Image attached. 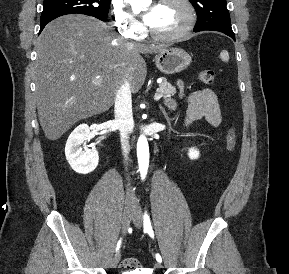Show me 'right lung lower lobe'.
<instances>
[{
    "mask_svg": "<svg viewBox=\"0 0 289 274\" xmlns=\"http://www.w3.org/2000/svg\"><path fill=\"white\" fill-rule=\"evenodd\" d=\"M59 16H62V15H59ZM59 16H51V17H47V18L41 19V21H40V32L43 30V28L45 27V25L47 23H49L50 21H52L53 19H55V18H57Z\"/></svg>",
    "mask_w": 289,
    "mask_h": 274,
    "instance_id": "98d812e1",
    "label": "right lung lower lobe"
}]
</instances>
